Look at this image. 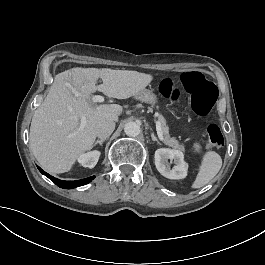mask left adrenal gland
Returning a JSON list of instances; mask_svg holds the SVG:
<instances>
[{
	"mask_svg": "<svg viewBox=\"0 0 265 265\" xmlns=\"http://www.w3.org/2000/svg\"><path fill=\"white\" fill-rule=\"evenodd\" d=\"M151 140H152V141H156L157 144L160 145V146L162 145V144L157 140V138L155 137V135H154L153 133H151Z\"/></svg>",
	"mask_w": 265,
	"mask_h": 265,
	"instance_id": "a2214340",
	"label": "left adrenal gland"
}]
</instances>
